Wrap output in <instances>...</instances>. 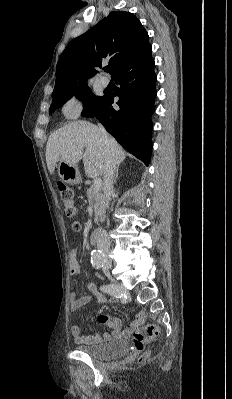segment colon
<instances>
[{
    "instance_id": "obj_1",
    "label": "colon",
    "mask_w": 232,
    "mask_h": 399,
    "mask_svg": "<svg viewBox=\"0 0 232 399\" xmlns=\"http://www.w3.org/2000/svg\"><path fill=\"white\" fill-rule=\"evenodd\" d=\"M58 191H61V201L68 203L67 205V218H72L75 213L76 200L73 199V187L66 185V180H57ZM75 232H80L79 222H73ZM160 330H156L155 323L152 326H139L138 330H132L131 339L133 342L131 351L132 353H143L144 348L147 347V341H152L153 337H160Z\"/></svg>"
}]
</instances>
